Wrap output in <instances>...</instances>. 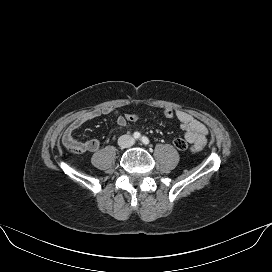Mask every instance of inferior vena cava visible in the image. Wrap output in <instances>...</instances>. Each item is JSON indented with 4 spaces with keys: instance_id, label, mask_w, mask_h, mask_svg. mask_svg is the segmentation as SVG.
Instances as JSON below:
<instances>
[{
    "instance_id": "inferior-vena-cava-1",
    "label": "inferior vena cava",
    "mask_w": 272,
    "mask_h": 272,
    "mask_svg": "<svg viewBox=\"0 0 272 272\" xmlns=\"http://www.w3.org/2000/svg\"><path fill=\"white\" fill-rule=\"evenodd\" d=\"M134 144V138L131 135H122L118 139V145L122 148H129Z\"/></svg>"
}]
</instances>
